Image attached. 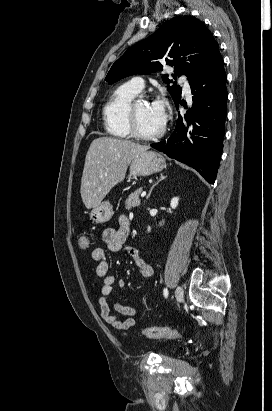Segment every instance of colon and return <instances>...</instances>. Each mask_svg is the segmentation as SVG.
Returning a JSON list of instances; mask_svg holds the SVG:
<instances>
[{
  "label": "colon",
  "mask_w": 272,
  "mask_h": 411,
  "mask_svg": "<svg viewBox=\"0 0 272 411\" xmlns=\"http://www.w3.org/2000/svg\"><path fill=\"white\" fill-rule=\"evenodd\" d=\"M90 246V240L86 236H81L79 238V247L83 250L89 248ZM142 334L147 337V338H166V339H171V340H178L182 338V333L175 330L171 329L169 327H160V326H154V327H145L142 330Z\"/></svg>",
  "instance_id": "1"
}]
</instances>
